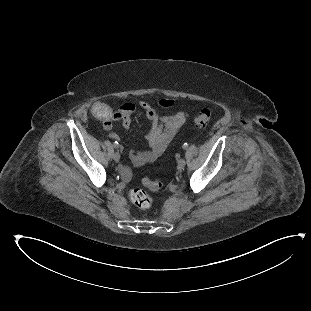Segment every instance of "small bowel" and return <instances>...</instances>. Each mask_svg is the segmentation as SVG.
<instances>
[{
	"label": "small bowel",
	"mask_w": 311,
	"mask_h": 311,
	"mask_svg": "<svg viewBox=\"0 0 311 311\" xmlns=\"http://www.w3.org/2000/svg\"><path fill=\"white\" fill-rule=\"evenodd\" d=\"M159 106L171 108L174 102L170 99L159 101ZM141 109L146 115L150 128L146 139L149 149L145 151L134 150L130 153V160L136 167H141L147 163L158 159L166 150L174 136L186 121L187 114L184 111H178L170 116H160L155 107L148 100H140L138 104L132 102L120 103L117 105L116 113L124 129H128L133 120L137 109ZM107 131H111L112 126H104ZM110 137L117 139L118 135L110 132Z\"/></svg>",
	"instance_id": "obj_1"
}]
</instances>
